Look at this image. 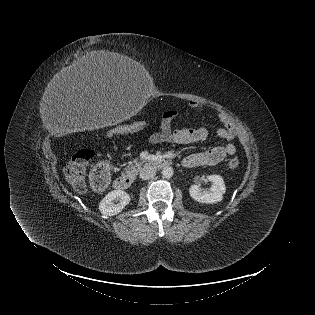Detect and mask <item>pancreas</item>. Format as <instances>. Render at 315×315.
<instances>
[{
	"label": "pancreas",
	"mask_w": 315,
	"mask_h": 315,
	"mask_svg": "<svg viewBox=\"0 0 315 315\" xmlns=\"http://www.w3.org/2000/svg\"><path fill=\"white\" fill-rule=\"evenodd\" d=\"M141 163L137 162V160H134L133 162H129L127 169L128 170H138L140 168Z\"/></svg>",
	"instance_id": "obj_1"
}]
</instances>
